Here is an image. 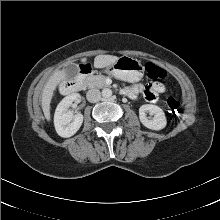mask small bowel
<instances>
[{
	"label": "small bowel",
	"mask_w": 220,
	"mask_h": 220,
	"mask_svg": "<svg viewBox=\"0 0 220 220\" xmlns=\"http://www.w3.org/2000/svg\"><path fill=\"white\" fill-rule=\"evenodd\" d=\"M144 90V95L146 99L150 102H155L158 99L160 93L164 91V86L157 83L152 86L143 88L142 86H136L132 89H125V93L130 96H135L138 92Z\"/></svg>",
	"instance_id": "1"
}]
</instances>
